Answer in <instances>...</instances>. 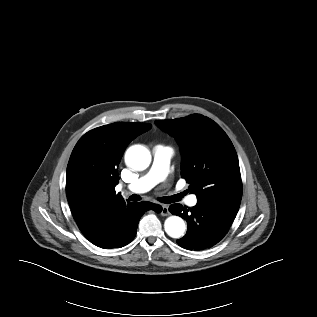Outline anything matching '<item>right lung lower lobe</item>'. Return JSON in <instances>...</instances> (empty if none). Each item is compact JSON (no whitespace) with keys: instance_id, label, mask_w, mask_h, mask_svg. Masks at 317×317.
Returning <instances> with one entry per match:
<instances>
[{"instance_id":"right-lung-lower-lobe-1","label":"right lung lower lobe","mask_w":317,"mask_h":317,"mask_svg":"<svg viewBox=\"0 0 317 317\" xmlns=\"http://www.w3.org/2000/svg\"><path fill=\"white\" fill-rule=\"evenodd\" d=\"M71 209L83 235L91 243L104 249L121 248L130 243L145 211H162L160 205L150 202L103 206L97 199H86Z\"/></svg>"}]
</instances>
